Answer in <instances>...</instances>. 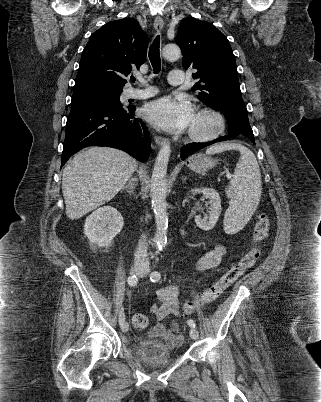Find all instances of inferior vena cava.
I'll list each match as a JSON object with an SVG mask.
<instances>
[{
  "label": "inferior vena cava",
  "instance_id": "inferior-vena-cava-1",
  "mask_svg": "<svg viewBox=\"0 0 321 402\" xmlns=\"http://www.w3.org/2000/svg\"><path fill=\"white\" fill-rule=\"evenodd\" d=\"M134 264L136 267H143L145 269L149 268L145 235H142V239L138 243V246H137V249L135 252Z\"/></svg>",
  "mask_w": 321,
  "mask_h": 402
}]
</instances>
